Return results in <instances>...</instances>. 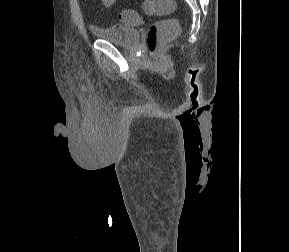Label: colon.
Masks as SVG:
<instances>
[{
    "label": "colon",
    "mask_w": 289,
    "mask_h": 252,
    "mask_svg": "<svg viewBox=\"0 0 289 252\" xmlns=\"http://www.w3.org/2000/svg\"><path fill=\"white\" fill-rule=\"evenodd\" d=\"M175 8L174 0H145L143 9L150 15H167ZM121 20L128 25H137L141 18L133 10L124 9L120 12ZM179 24L175 19H163L153 23L147 32L146 43L149 53L155 56L159 48L177 36Z\"/></svg>",
    "instance_id": "1"
}]
</instances>
